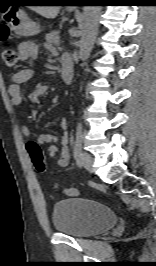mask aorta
<instances>
[{"instance_id":"762f6f07","label":"aorta","mask_w":156,"mask_h":266,"mask_svg":"<svg viewBox=\"0 0 156 266\" xmlns=\"http://www.w3.org/2000/svg\"><path fill=\"white\" fill-rule=\"evenodd\" d=\"M101 12L100 6H85L81 23L82 37L79 42V58L89 57L98 32V21Z\"/></svg>"}]
</instances>
